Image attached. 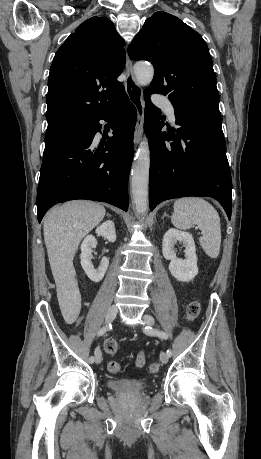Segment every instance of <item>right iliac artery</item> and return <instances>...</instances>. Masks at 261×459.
Wrapping results in <instances>:
<instances>
[{
	"instance_id": "1",
	"label": "right iliac artery",
	"mask_w": 261,
	"mask_h": 459,
	"mask_svg": "<svg viewBox=\"0 0 261 459\" xmlns=\"http://www.w3.org/2000/svg\"><path fill=\"white\" fill-rule=\"evenodd\" d=\"M111 327H112L111 324L106 325V326H103V327L98 331V336H101V335L105 334V333L109 330V328H111ZM97 349H98V348H97ZM97 349H96V350H97ZM96 350H95V353H96ZM89 361L92 363V362L94 361V357L91 356V357L89 358Z\"/></svg>"
}]
</instances>
